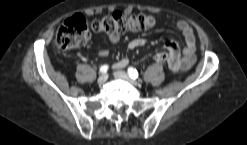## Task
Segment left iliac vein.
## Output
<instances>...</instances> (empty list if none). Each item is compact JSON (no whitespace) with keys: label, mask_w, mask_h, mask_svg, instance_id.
<instances>
[{"label":"left iliac vein","mask_w":247,"mask_h":145,"mask_svg":"<svg viewBox=\"0 0 247 145\" xmlns=\"http://www.w3.org/2000/svg\"><path fill=\"white\" fill-rule=\"evenodd\" d=\"M114 75L117 78H120V79H123V80L129 82L133 86H138L139 85V83L136 80L130 78L129 75L126 72H124V71L114 72Z\"/></svg>","instance_id":"1"}]
</instances>
